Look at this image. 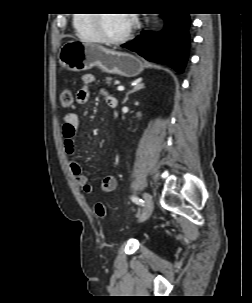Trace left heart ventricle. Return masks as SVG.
I'll return each mask as SVG.
<instances>
[{
  "label": "left heart ventricle",
  "instance_id": "obj_1",
  "mask_svg": "<svg viewBox=\"0 0 252 303\" xmlns=\"http://www.w3.org/2000/svg\"><path fill=\"white\" fill-rule=\"evenodd\" d=\"M130 22L131 20L128 14H104L102 26L107 35L117 37L128 29Z\"/></svg>",
  "mask_w": 252,
  "mask_h": 303
}]
</instances>
